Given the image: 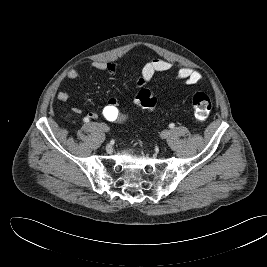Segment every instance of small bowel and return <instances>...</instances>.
Wrapping results in <instances>:
<instances>
[{
  "label": "small bowel",
  "instance_id": "small-bowel-1",
  "mask_svg": "<svg viewBox=\"0 0 267 267\" xmlns=\"http://www.w3.org/2000/svg\"><path fill=\"white\" fill-rule=\"evenodd\" d=\"M95 67L100 70L106 71L111 76L115 75L118 70V65L114 62L107 63H96ZM171 68V63L166 59H153L141 66L140 76L137 80L138 86H143L147 82H149L157 73L165 72ZM68 77L70 79H77L79 77V73L76 69H70L68 71ZM176 79L184 81L188 85L196 84L202 77L201 73L198 70L193 68L184 67L181 68L176 73ZM57 99L61 102H66L69 99V94L66 91H59L57 93ZM110 101L119 104L116 98H110ZM73 111L76 114H79L81 111L79 108H74ZM88 118L95 119L97 118V113L89 112L87 115Z\"/></svg>",
  "mask_w": 267,
  "mask_h": 267
}]
</instances>
